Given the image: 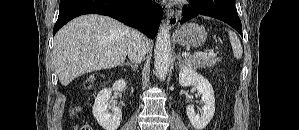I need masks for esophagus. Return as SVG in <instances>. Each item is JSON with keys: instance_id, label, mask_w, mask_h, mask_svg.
Segmentation results:
<instances>
[{"instance_id": "1", "label": "esophagus", "mask_w": 299, "mask_h": 130, "mask_svg": "<svg viewBox=\"0 0 299 130\" xmlns=\"http://www.w3.org/2000/svg\"><path fill=\"white\" fill-rule=\"evenodd\" d=\"M178 22V15L174 11L167 12L166 23L169 28L174 27Z\"/></svg>"}]
</instances>
